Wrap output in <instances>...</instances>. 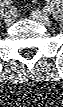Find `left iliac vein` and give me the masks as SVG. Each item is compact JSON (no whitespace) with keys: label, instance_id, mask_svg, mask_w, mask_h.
Returning a JSON list of instances; mask_svg holds the SVG:
<instances>
[{"label":"left iliac vein","instance_id":"1","mask_svg":"<svg viewBox=\"0 0 63 107\" xmlns=\"http://www.w3.org/2000/svg\"><path fill=\"white\" fill-rule=\"evenodd\" d=\"M32 17L45 26H49L51 24L49 16L40 11H33Z\"/></svg>","mask_w":63,"mask_h":107}]
</instances>
